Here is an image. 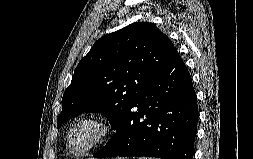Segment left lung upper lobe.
Listing matches in <instances>:
<instances>
[{
    "label": "left lung upper lobe",
    "instance_id": "left-lung-upper-lobe-1",
    "mask_svg": "<svg viewBox=\"0 0 253 159\" xmlns=\"http://www.w3.org/2000/svg\"><path fill=\"white\" fill-rule=\"evenodd\" d=\"M177 50L154 24L136 22L97 40L62 98L57 128L83 112H102L116 131Z\"/></svg>",
    "mask_w": 253,
    "mask_h": 159
}]
</instances>
